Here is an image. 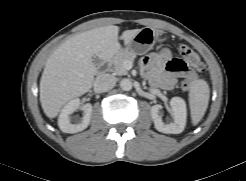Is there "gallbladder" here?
<instances>
[{
  "label": "gallbladder",
  "instance_id": "1",
  "mask_svg": "<svg viewBox=\"0 0 246 181\" xmlns=\"http://www.w3.org/2000/svg\"><path fill=\"white\" fill-rule=\"evenodd\" d=\"M92 59L95 65H98L101 62V60L97 56H93Z\"/></svg>",
  "mask_w": 246,
  "mask_h": 181
}]
</instances>
